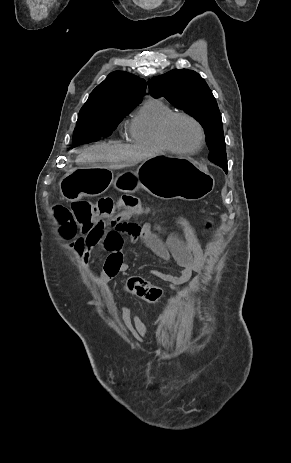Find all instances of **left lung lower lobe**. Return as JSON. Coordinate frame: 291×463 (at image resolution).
I'll list each match as a JSON object with an SVG mask.
<instances>
[{
  "label": "left lung lower lobe",
  "instance_id": "1",
  "mask_svg": "<svg viewBox=\"0 0 291 463\" xmlns=\"http://www.w3.org/2000/svg\"><path fill=\"white\" fill-rule=\"evenodd\" d=\"M219 166H220L221 168H223V170H224L225 172H227V165L221 164V165H219Z\"/></svg>",
  "mask_w": 291,
  "mask_h": 463
}]
</instances>
